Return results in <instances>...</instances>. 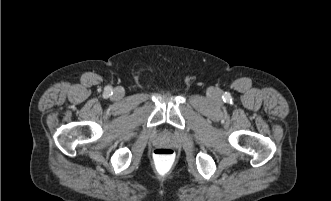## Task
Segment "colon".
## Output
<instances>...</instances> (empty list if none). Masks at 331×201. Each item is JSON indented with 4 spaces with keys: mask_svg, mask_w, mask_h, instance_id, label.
Wrapping results in <instances>:
<instances>
[{
    "mask_svg": "<svg viewBox=\"0 0 331 201\" xmlns=\"http://www.w3.org/2000/svg\"><path fill=\"white\" fill-rule=\"evenodd\" d=\"M153 165L156 172L161 175L170 174L176 165L177 155L176 152L166 146L157 147L152 155Z\"/></svg>",
    "mask_w": 331,
    "mask_h": 201,
    "instance_id": "1",
    "label": "colon"
}]
</instances>
